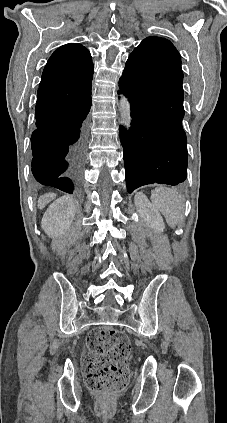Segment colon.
Instances as JSON below:
<instances>
[{
	"instance_id": "1",
	"label": "colon",
	"mask_w": 227,
	"mask_h": 423,
	"mask_svg": "<svg viewBox=\"0 0 227 423\" xmlns=\"http://www.w3.org/2000/svg\"><path fill=\"white\" fill-rule=\"evenodd\" d=\"M88 355L84 363L85 384L101 394L123 390L129 378L127 359L131 350L128 337L112 327H98L86 339Z\"/></svg>"
}]
</instances>
